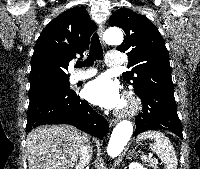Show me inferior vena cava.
<instances>
[{
    "instance_id": "602c4592",
    "label": "inferior vena cava",
    "mask_w": 200,
    "mask_h": 169,
    "mask_svg": "<svg viewBox=\"0 0 200 169\" xmlns=\"http://www.w3.org/2000/svg\"><path fill=\"white\" fill-rule=\"evenodd\" d=\"M92 157V149L89 145H83L81 148V153H80V161H79V168L84 169L86 166L89 165L90 160Z\"/></svg>"
}]
</instances>
